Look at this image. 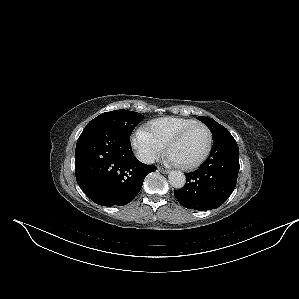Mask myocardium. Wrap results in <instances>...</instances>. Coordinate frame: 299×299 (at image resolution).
Instances as JSON below:
<instances>
[{"label": "myocardium", "instance_id": "1", "mask_svg": "<svg viewBox=\"0 0 299 299\" xmlns=\"http://www.w3.org/2000/svg\"><path fill=\"white\" fill-rule=\"evenodd\" d=\"M195 127H203L207 131V134H208L207 147H206V150L204 151V153L202 154V156L195 162L190 163V164H180V163L177 164L181 169H184V170H193L195 168H198L207 160V158L212 150V146H213V134H212L211 129L206 124H204L202 122H195V123L185 127L184 129L180 130L178 133H176L166 144V150H167L168 154H170L171 148L175 144L180 142Z\"/></svg>", "mask_w": 299, "mask_h": 299}]
</instances>
